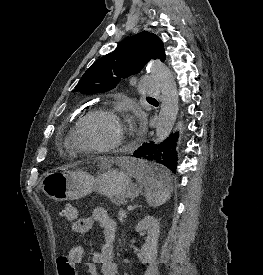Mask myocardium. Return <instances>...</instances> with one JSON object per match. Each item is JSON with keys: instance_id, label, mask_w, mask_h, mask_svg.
<instances>
[{"instance_id": "f54148a6", "label": "myocardium", "mask_w": 263, "mask_h": 275, "mask_svg": "<svg viewBox=\"0 0 263 275\" xmlns=\"http://www.w3.org/2000/svg\"><path fill=\"white\" fill-rule=\"evenodd\" d=\"M97 115H104L114 120L120 129V136L113 144L105 147L84 146L80 143L78 139L79 129L84 122H86L88 119ZM132 138H133L132 129L127 125V123L122 119V117L119 115L117 111L106 106H98L88 110L86 113H84L82 116H80L77 119L74 126L72 127V130L69 136V143L76 152L90 154V155H101V154H111V153L124 150L130 143Z\"/></svg>"}]
</instances>
